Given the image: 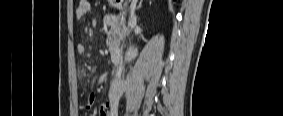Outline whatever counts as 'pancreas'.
I'll return each instance as SVG.
<instances>
[{
    "label": "pancreas",
    "instance_id": "cf45deb5",
    "mask_svg": "<svg viewBox=\"0 0 283 116\" xmlns=\"http://www.w3.org/2000/svg\"><path fill=\"white\" fill-rule=\"evenodd\" d=\"M106 24L110 27L106 39V45L109 51H113V49L128 33V28L126 27L123 16L121 15H110L106 20Z\"/></svg>",
    "mask_w": 283,
    "mask_h": 116
}]
</instances>
